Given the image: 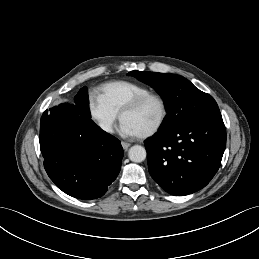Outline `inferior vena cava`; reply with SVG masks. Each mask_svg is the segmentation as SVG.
Instances as JSON below:
<instances>
[{"instance_id": "inferior-vena-cava-1", "label": "inferior vena cava", "mask_w": 259, "mask_h": 259, "mask_svg": "<svg viewBox=\"0 0 259 259\" xmlns=\"http://www.w3.org/2000/svg\"><path fill=\"white\" fill-rule=\"evenodd\" d=\"M100 127L106 132H112L111 125L109 123L101 122Z\"/></svg>"}]
</instances>
